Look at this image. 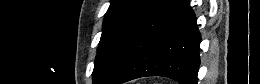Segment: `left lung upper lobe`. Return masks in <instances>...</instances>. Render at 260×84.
<instances>
[{"label":"left lung upper lobe","mask_w":260,"mask_h":84,"mask_svg":"<svg viewBox=\"0 0 260 84\" xmlns=\"http://www.w3.org/2000/svg\"><path fill=\"white\" fill-rule=\"evenodd\" d=\"M159 0H111L99 42L93 84H103L118 56Z\"/></svg>","instance_id":"left-lung-upper-lobe-1"}]
</instances>
